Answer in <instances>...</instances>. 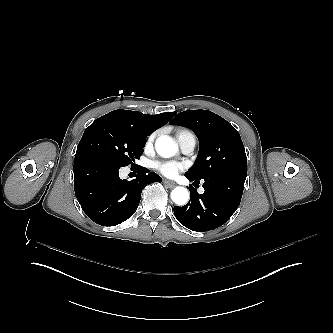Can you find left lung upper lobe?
I'll list each match as a JSON object with an SVG mask.
<instances>
[{
	"mask_svg": "<svg viewBox=\"0 0 333 333\" xmlns=\"http://www.w3.org/2000/svg\"><path fill=\"white\" fill-rule=\"evenodd\" d=\"M170 124L190 128L199 139V153L194 165L185 173L205 182L218 175H247V157L237 130L219 115L207 110L178 113Z\"/></svg>",
	"mask_w": 333,
	"mask_h": 333,
	"instance_id": "1",
	"label": "left lung upper lobe"
}]
</instances>
